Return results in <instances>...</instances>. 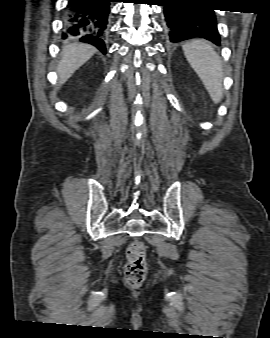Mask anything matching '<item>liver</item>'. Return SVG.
I'll return each mask as SVG.
<instances>
[{"mask_svg":"<svg viewBox=\"0 0 270 338\" xmlns=\"http://www.w3.org/2000/svg\"><path fill=\"white\" fill-rule=\"evenodd\" d=\"M96 51L95 47L85 43H73L64 46L61 52L62 59L57 68L59 84H64Z\"/></svg>","mask_w":270,"mask_h":338,"instance_id":"1","label":"liver"}]
</instances>
